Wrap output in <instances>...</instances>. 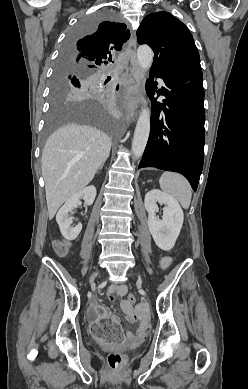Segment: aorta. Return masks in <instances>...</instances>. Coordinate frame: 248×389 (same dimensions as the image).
<instances>
[{"label":"aorta","instance_id":"762f6f07","mask_svg":"<svg viewBox=\"0 0 248 389\" xmlns=\"http://www.w3.org/2000/svg\"><path fill=\"white\" fill-rule=\"evenodd\" d=\"M138 63L143 71H147L153 61V51L147 45H141L137 49ZM150 133V110L143 107L134 131L132 141V154L134 159H139L146 147Z\"/></svg>","mask_w":248,"mask_h":389}]
</instances>
